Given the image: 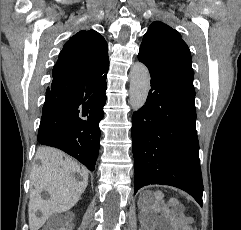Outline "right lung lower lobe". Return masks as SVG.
Wrapping results in <instances>:
<instances>
[{"mask_svg": "<svg viewBox=\"0 0 241 230\" xmlns=\"http://www.w3.org/2000/svg\"><path fill=\"white\" fill-rule=\"evenodd\" d=\"M106 85V76L53 70L38 142L63 150L93 171L100 147L99 122L104 116Z\"/></svg>", "mask_w": 241, "mask_h": 230, "instance_id": "1", "label": "right lung lower lobe"}]
</instances>
